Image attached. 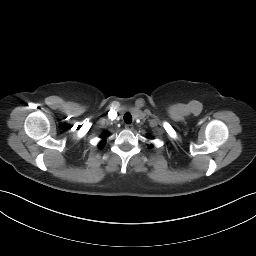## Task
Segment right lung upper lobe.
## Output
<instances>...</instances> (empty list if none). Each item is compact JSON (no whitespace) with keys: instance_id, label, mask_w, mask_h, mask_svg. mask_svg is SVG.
<instances>
[{"instance_id":"obj_1","label":"right lung upper lobe","mask_w":256,"mask_h":256,"mask_svg":"<svg viewBox=\"0 0 256 256\" xmlns=\"http://www.w3.org/2000/svg\"><path fill=\"white\" fill-rule=\"evenodd\" d=\"M106 136H107V134H104V137H106ZM103 145H104V141H101L99 144V147L101 148Z\"/></svg>"}]
</instances>
